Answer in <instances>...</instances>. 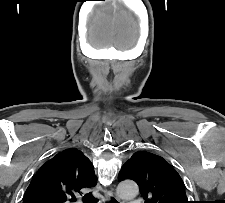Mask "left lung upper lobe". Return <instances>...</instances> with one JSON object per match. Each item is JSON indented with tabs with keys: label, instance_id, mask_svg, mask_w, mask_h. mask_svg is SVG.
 <instances>
[{
	"label": "left lung upper lobe",
	"instance_id": "obj_1",
	"mask_svg": "<svg viewBox=\"0 0 225 203\" xmlns=\"http://www.w3.org/2000/svg\"><path fill=\"white\" fill-rule=\"evenodd\" d=\"M134 180L145 203H189L177 171L162 157L137 151L121 167L118 180Z\"/></svg>",
	"mask_w": 225,
	"mask_h": 203
}]
</instances>
